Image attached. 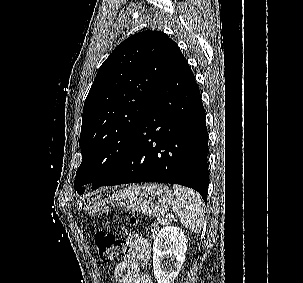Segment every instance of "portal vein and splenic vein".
Segmentation results:
<instances>
[{"mask_svg":"<svg viewBox=\"0 0 303 283\" xmlns=\"http://www.w3.org/2000/svg\"><path fill=\"white\" fill-rule=\"evenodd\" d=\"M168 222H169L168 218H164V219H162V221H161L162 224H167Z\"/></svg>","mask_w":303,"mask_h":283,"instance_id":"portal-vein-and-splenic-vein-1","label":"portal vein and splenic vein"}]
</instances>
